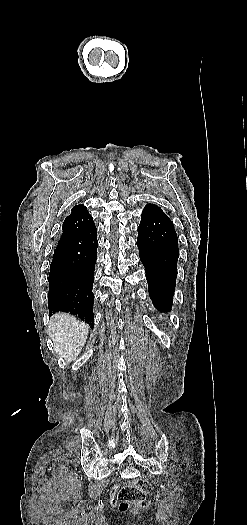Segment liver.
I'll use <instances>...</instances> for the list:
<instances>
[{
	"mask_svg": "<svg viewBox=\"0 0 247 525\" xmlns=\"http://www.w3.org/2000/svg\"><path fill=\"white\" fill-rule=\"evenodd\" d=\"M48 333L54 353L59 357L58 363L60 367H65L79 357L86 343L89 327L69 313H56L49 321Z\"/></svg>",
	"mask_w": 247,
	"mask_h": 525,
	"instance_id": "obj_1",
	"label": "liver"
}]
</instances>
